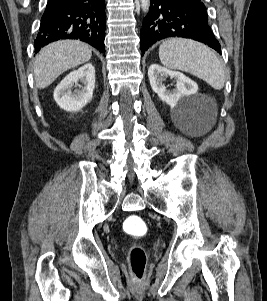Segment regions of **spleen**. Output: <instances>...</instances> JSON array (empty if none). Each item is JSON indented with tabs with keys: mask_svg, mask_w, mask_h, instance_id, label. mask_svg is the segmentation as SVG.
I'll use <instances>...</instances> for the list:
<instances>
[{
	"mask_svg": "<svg viewBox=\"0 0 267 301\" xmlns=\"http://www.w3.org/2000/svg\"><path fill=\"white\" fill-rule=\"evenodd\" d=\"M161 63L204 80L212 88L224 87L225 73L215 53L206 45L191 39L170 38L159 47Z\"/></svg>",
	"mask_w": 267,
	"mask_h": 301,
	"instance_id": "spleen-1",
	"label": "spleen"
}]
</instances>
